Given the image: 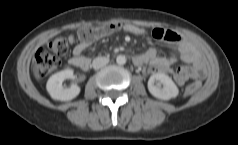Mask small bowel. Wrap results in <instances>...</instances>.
<instances>
[{"mask_svg":"<svg viewBox=\"0 0 238 145\" xmlns=\"http://www.w3.org/2000/svg\"><path fill=\"white\" fill-rule=\"evenodd\" d=\"M122 29L133 35L145 37L147 31L139 26L132 24H123ZM151 40L157 42H166L176 45L180 58L190 66H184L176 71L171 69L175 61L174 56H159L155 49L150 48L144 53L136 56L137 66H146V71L150 75L157 73L171 74L178 86H183L189 79H203L207 74V69L203 63L202 57L198 51L187 41L183 40V35L178 30L172 28L151 27L148 31ZM85 46L77 44L73 51L69 63L73 66L86 70L90 65L88 58L82 56Z\"/></svg>","mask_w":238,"mask_h":145,"instance_id":"1","label":"small bowel"}]
</instances>
